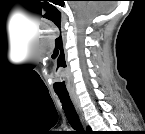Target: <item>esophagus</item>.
<instances>
[{"mask_svg":"<svg viewBox=\"0 0 145 134\" xmlns=\"http://www.w3.org/2000/svg\"><path fill=\"white\" fill-rule=\"evenodd\" d=\"M72 102L75 105L76 109L78 110V112H80V107H79V102L76 96H71Z\"/></svg>","mask_w":145,"mask_h":134,"instance_id":"obj_1","label":"esophagus"}]
</instances>
